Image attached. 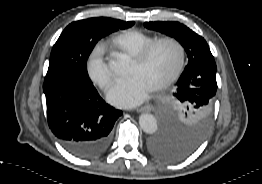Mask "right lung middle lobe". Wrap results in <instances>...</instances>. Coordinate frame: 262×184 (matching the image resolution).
I'll list each match as a JSON object with an SVG mask.
<instances>
[{"instance_id":"right-lung-middle-lobe-1","label":"right lung middle lobe","mask_w":262,"mask_h":184,"mask_svg":"<svg viewBox=\"0 0 262 184\" xmlns=\"http://www.w3.org/2000/svg\"><path fill=\"white\" fill-rule=\"evenodd\" d=\"M134 23L97 17L69 24L53 46L44 82L74 77L91 83L87 75L86 62L95 44L102 37L129 28Z\"/></svg>"}]
</instances>
